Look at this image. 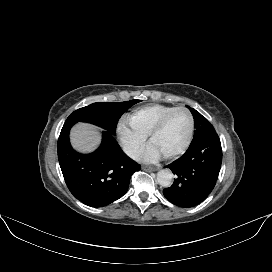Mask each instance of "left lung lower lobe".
<instances>
[{"mask_svg": "<svg viewBox=\"0 0 272 272\" xmlns=\"http://www.w3.org/2000/svg\"><path fill=\"white\" fill-rule=\"evenodd\" d=\"M222 162V148L217 134L190 145L186 153L167 167L176 175L164 196L180 207L201 203L213 190Z\"/></svg>", "mask_w": 272, "mask_h": 272, "instance_id": "left-lung-lower-lobe-1", "label": "left lung lower lobe"}]
</instances>
